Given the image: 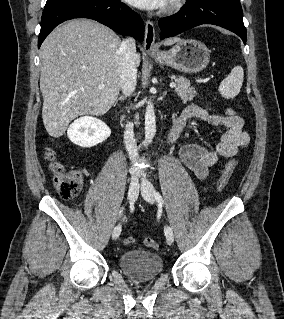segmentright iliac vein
<instances>
[{"instance_id":"63e3f726","label":"right iliac vein","mask_w":284,"mask_h":319,"mask_svg":"<svg viewBox=\"0 0 284 319\" xmlns=\"http://www.w3.org/2000/svg\"><path fill=\"white\" fill-rule=\"evenodd\" d=\"M139 191V184L136 176L131 178V182L128 189V199L133 202L137 198ZM121 233V224H117L112 231V239H117Z\"/></svg>"}]
</instances>
